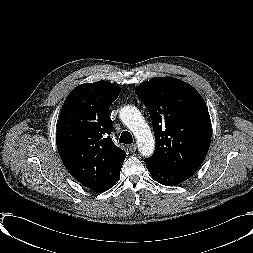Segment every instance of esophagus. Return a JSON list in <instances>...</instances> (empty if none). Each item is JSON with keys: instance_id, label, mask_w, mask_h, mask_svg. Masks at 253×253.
Wrapping results in <instances>:
<instances>
[{"instance_id": "obj_1", "label": "esophagus", "mask_w": 253, "mask_h": 253, "mask_svg": "<svg viewBox=\"0 0 253 253\" xmlns=\"http://www.w3.org/2000/svg\"><path fill=\"white\" fill-rule=\"evenodd\" d=\"M130 152H135L137 150V145L136 144H131L128 146Z\"/></svg>"}]
</instances>
